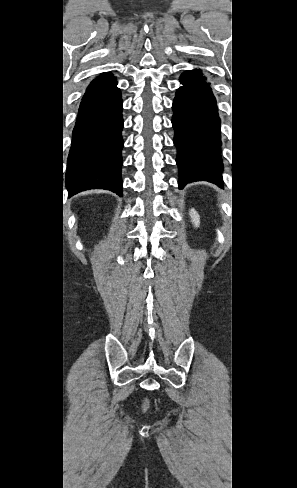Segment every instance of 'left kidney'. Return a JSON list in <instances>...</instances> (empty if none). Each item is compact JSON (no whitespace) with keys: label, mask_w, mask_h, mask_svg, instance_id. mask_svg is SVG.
Segmentation results:
<instances>
[{"label":"left kidney","mask_w":297,"mask_h":488,"mask_svg":"<svg viewBox=\"0 0 297 488\" xmlns=\"http://www.w3.org/2000/svg\"><path fill=\"white\" fill-rule=\"evenodd\" d=\"M190 217H191V220L193 222V224L198 227L199 224H200V217H199V214L196 212L195 209H191L190 210Z\"/></svg>","instance_id":"1"}]
</instances>
